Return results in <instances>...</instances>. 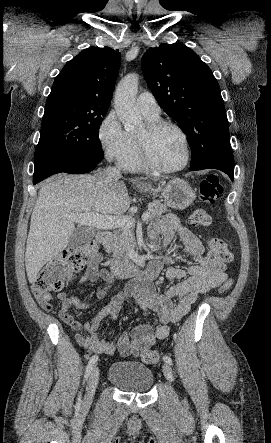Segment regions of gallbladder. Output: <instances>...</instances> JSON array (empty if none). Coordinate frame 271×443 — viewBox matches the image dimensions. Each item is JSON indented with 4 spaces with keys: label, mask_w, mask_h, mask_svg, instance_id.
Instances as JSON below:
<instances>
[{
    "label": "gallbladder",
    "mask_w": 271,
    "mask_h": 443,
    "mask_svg": "<svg viewBox=\"0 0 271 443\" xmlns=\"http://www.w3.org/2000/svg\"><path fill=\"white\" fill-rule=\"evenodd\" d=\"M95 233H90V231H74L72 233L67 247H78V245H81V243H86L88 239H92L94 237Z\"/></svg>",
    "instance_id": "bac80fb5"
}]
</instances>
